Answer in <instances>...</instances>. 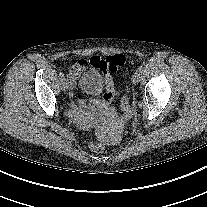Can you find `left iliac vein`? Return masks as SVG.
<instances>
[{
  "instance_id": "1",
  "label": "left iliac vein",
  "mask_w": 207,
  "mask_h": 207,
  "mask_svg": "<svg viewBox=\"0 0 207 207\" xmlns=\"http://www.w3.org/2000/svg\"><path fill=\"white\" fill-rule=\"evenodd\" d=\"M139 81H140V73L139 72H135L133 74V76H132V82L134 84H137V83H139Z\"/></svg>"
}]
</instances>
